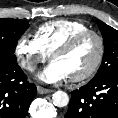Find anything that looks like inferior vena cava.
Here are the masks:
<instances>
[{
	"label": "inferior vena cava",
	"mask_w": 118,
	"mask_h": 118,
	"mask_svg": "<svg viewBox=\"0 0 118 118\" xmlns=\"http://www.w3.org/2000/svg\"><path fill=\"white\" fill-rule=\"evenodd\" d=\"M24 67L26 69H28L29 71H33L36 68L35 64L34 63H31V62H26L25 65H24Z\"/></svg>",
	"instance_id": "602c4592"
}]
</instances>
